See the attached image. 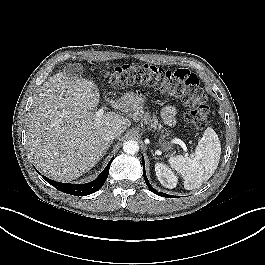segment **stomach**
<instances>
[{
	"mask_svg": "<svg viewBox=\"0 0 265 265\" xmlns=\"http://www.w3.org/2000/svg\"><path fill=\"white\" fill-rule=\"evenodd\" d=\"M129 99L131 100V104L134 109L143 103V99L139 96H131L129 97ZM161 144L164 150H170L172 148L171 144L169 142H166L164 138H162Z\"/></svg>",
	"mask_w": 265,
	"mask_h": 265,
	"instance_id": "stomach-1",
	"label": "stomach"
}]
</instances>
